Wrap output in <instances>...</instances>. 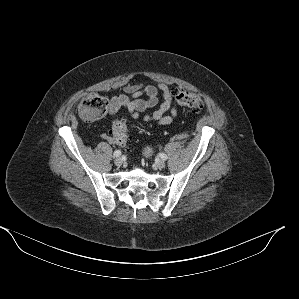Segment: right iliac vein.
Wrapping results in <instances>:
<instances>
[{"instance_id": "obj_1", "label": "right iliac vein", "mask_w": 299, "mask_h": 299, "mask_svg": "<svg viewBox=\"0 0 299 299\" xmlns=\"http://www.w3.org/2000/svg\"><path fill=\"white\" fill-rule=\"evenodd\" d=\"M114 163H115V165H117V166H122V164H123V160H122V158L117 157V158L114 160Z\"/></svg>"}]
</instances>
